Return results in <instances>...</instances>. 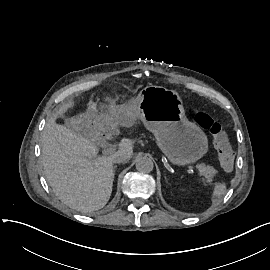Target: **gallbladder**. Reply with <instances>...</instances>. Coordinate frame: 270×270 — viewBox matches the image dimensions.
Segmentation results:
<instances>
[{
	"mask_svg": "<svg viewBox=\"0 0 270 270\" xmlns=\"http://www.w3.org/2000/svg\"><path fill=\"white\" fill-rule=\"evenodd\" d=\"M87 122L83 117L65 118V126L75 134L80 135L83 126H86Z\"/></svg>",
	"mask_w": 270,
	"mask_h": 270,
	"instance_id": "bac80fb5",
	"label": "gallbladder"
}]
</instances>
